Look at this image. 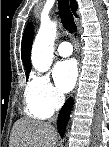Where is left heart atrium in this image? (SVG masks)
Returning <instances> with one entry per match:
<instances>
[{
    "label": "left heart atrium",
    "mask_w": 109,
    "mask_h": 147,
    "mask_svg": "<svg viewBox=\"0 0 109 147\" xmlns=\"http://www.w3.org/2000/svg\"><path fill=\"white\" fill-rule=\"evenodd\" d=\"M53 78L57 88L62 92H69L77 79V67L73 60L59 62L53 70Z\"/></svg>",
    "instance_id": "1"
}]
</instances>
